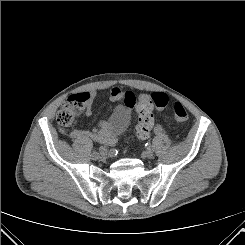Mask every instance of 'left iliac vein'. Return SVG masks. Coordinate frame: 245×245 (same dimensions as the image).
Wrapping results in <instances>:
<instances>
[{
	"label": "left iliac vein",
	"instance_id": "4c4485c4",
	"mask_svg": "<svg viewBox=\"0 0 245 245\" xmlns=\"http://www.w3.org/2000/svg\"><path fill=\"white\" fill-rule=\"evenodd\" d=\"M143 154L146 158H152L154 156V153L151 149H147Z\"/></svg>",
	"mask_w": 245,
	"mask_h": 245
}]
</instances>
